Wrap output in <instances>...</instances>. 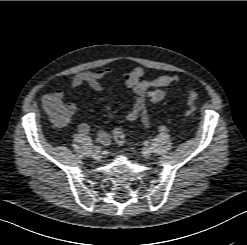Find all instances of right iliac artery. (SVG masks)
<instances>
[{"label": "right iliac artery", "mask_w": 247, "mask_h": 245, "mask_svg": "<svg viewBox=\"0 0 247 245\" xmlns=\"http://www.w3.org/2000/svg\"><path fill=\"white\" fill-rule=\"evenodd\" d=\"M100 149H101V146L98 145V146H95V147L93 148V151H100Z\"/></svg>", "instance_id": "obj_1"}]
</instances>
